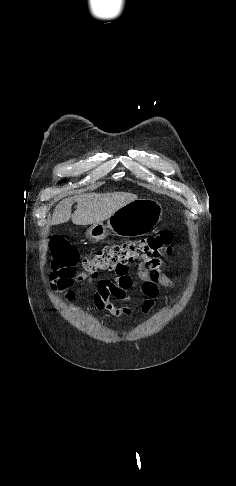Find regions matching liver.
<instances>
[{
	"label": "liver",
	"mask_w": 236,
	"mask_h": 486,
	"mask_svg": "<svg viewBox=\"0 0 236 486\" xmlns=\"http://www.w3.org/2000/svg\"><path fill=\"white\" fill-rule=\"evenodd\" d=\"M137 198V195L126 192L87 193L67 198L60 201L55 207L51 224H62L70 219L75 225L100 223ZM75 201L77 202V209L72 214L71 207Z\"/></svg>",
	"instance_id": "liver-1"
}]
</instances>
